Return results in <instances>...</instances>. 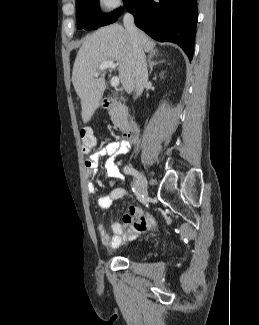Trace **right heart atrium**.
<instances>
[{"label":"right heart atrium","instance_id":"obj_1","mask_svg":"<svg viewBox=\"0 0 259 325\" xmlns=\"http://www.w3.org/2000/svg\"><path fill=\"white\" fill-rule=\"evenodd\" d=\"M97 3L102 10L112 12L123 4V0H97Z\"/></svg>","mask_w":259,"mask_h":325}]
</instances>
